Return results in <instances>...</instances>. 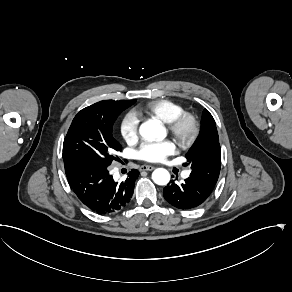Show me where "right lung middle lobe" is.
I'll list each match as a JSON object with an SVG mask.
<instances>
[{
  "label": "right lung middle lobe",
  "mask_w": 292,
  "mask_h": 292,
  "mask_svg": "<svg viewBox=\"0 0 292 292\" xmlns=\"http://www.w3.org/2000/svg\"><path fill=\"white\" fill-rule=\"evenodd\" d=\"M136 100L97 102L74 117L63 143V160L108 167L117 160L121 144L113 137V124L120 113Z\"/></svg>",
  "instance_id": "obj_1"
}]
</instances>
